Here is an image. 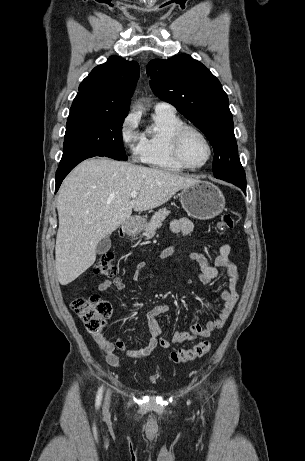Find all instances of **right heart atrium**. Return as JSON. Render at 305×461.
<instances>
[{
    "label": "right heart atrium",
    "mask_w": 305,
    "mask_h": 461,
    "mask_svg": "<svg viewBox=\"0 0 305 461\" xmlns=\"http://www.w3.org/2000/svg\"><path fill=\"white\" fill-rule=\"evenodd\" d=\"M137 118L130 114L128 115L121 126L120 137L123 146L132 153V155H138L140 136L136 131Z\"/></svg>",
    "instance_id": "right-heart-atrium-1"
}]
</instances>
